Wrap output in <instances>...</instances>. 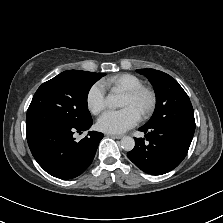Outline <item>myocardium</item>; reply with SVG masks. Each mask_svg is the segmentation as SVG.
I'll use <instances>...</instances> for the list:
<instances>
[{
    "label": "myocardium",
    "instance_id": "obj_1",
    "mask_svg": "<svg viewBox=\"0 0 223 223\" xmlns=\"http://www.w3.org/2000/svg\"><path fill=\"white\" fill-rule=\"evenodd\" d=\"M125 95L127 97H129L130 99H138L143 96L147 97L148 104L141 111V114H140L141 117H147L154 112L157 99H156V94L154 93L153 90H151L145 86H142V87H139V88L132 90L130 92H126Z\"/></svg>",
    "mask_w": 223,
    "mask_h": 223
}]
</instances>
